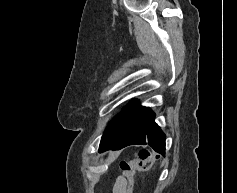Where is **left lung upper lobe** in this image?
<instances>
[{
    "label": "left lung upper lobe",
    "mask_w": 237,
    "mask_h": 193,
    "mask_svg": "<svg viewBox=\"0 0 237 193\" xmlns=\"http://www.w3.org/2000/svg\"><path fill=\"white\" fill-rule=\"evenodd\" d=\"M136 106L137 102H130L126 107H124L123 111L109 123L100 142L101 149L112 146L119 139L128 125L129 119Z\"/></svg>",
    "instance_id": "5c2ea615"
}]
</instances>
